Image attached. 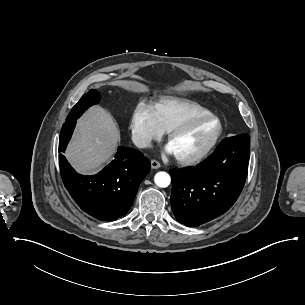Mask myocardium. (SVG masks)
Here are the masks:
<instances>
[{
    "instance_id": "1",
    "label": "myocardium",
    "mask_w": 305,
    "mask_h": 305,
    "mask_svg": "<svg viewBox=\"0 0 305 305\" xmlns=\"http://www.w3.org/2000/svg\"><path fill=\"white\" fill-rule=\"evenodd\" d=\"M207 119H216L219 122L220 128L218 133L216 134L213 141L203 150L196 152L194 154L189 155H179L175 154V158L178 163L182 165H192L194 163L200 162L206 157H208L221 143L222 139L226 133V125L223 119L214 112H209L207 114L199 115L193 118H189L179 125H177L174 129H172L168 136V144L171 146L172 143L182 134L184 133L190 126L203 122Z\"/></svg>"
}]
</instances>
